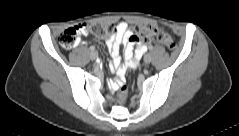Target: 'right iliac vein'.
<instances>
[{
  "label": "right iliac vein",
  "mask_w": 239,
  "mask_h": 136,
  "mask_svg": "<svg viewBox=\"0 0 239 136\" xmlns=\"http://www.w3.org/2000/svg\"><path fill=\"white\" fill-rule=\"evenodd\" d=\"M90 57H91L92 60L97 59V58H98V54H97V52L92 51V52L90 53Z\"/></svg>",
  "instance_id": "1"
}]
</instances>
